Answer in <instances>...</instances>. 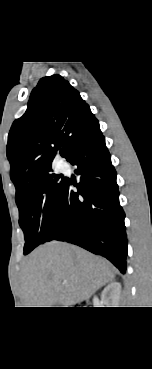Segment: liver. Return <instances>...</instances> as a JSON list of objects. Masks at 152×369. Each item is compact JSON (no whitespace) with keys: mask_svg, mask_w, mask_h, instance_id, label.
I'll use <instances>...</instances> for the list:
<instances>
[{"mask_svg":"<svg viewBox=\"0 0 152 369\" xmlns=\"http://www.w3.org/2000/svg\"><path fill=\"white\" fill-rule=\"evenodd\" d=\"M114 276L105 259L52 241L36 248L24 263L23 303L25 307H71L88 300Z\"/></svg>","mask_w":152,"mask_h":369,"instance_id":"1","label":"liver"}]
</instances>
